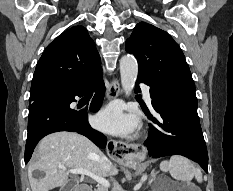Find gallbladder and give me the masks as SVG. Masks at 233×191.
<instances>
[{
    "mask_svg": "<svg viewBox=\"0 0 233 191\" xmlns=\"http://www.w3.org/2000/svg\"><path fill=\"white\" fill-rule=\"evenodd\" d=\"M75 184H76V181L71 179L68 181V183L64 187H61L60 191H72Z\"/></svg>",
    "mask_w": 233,
    "mask_h": 191,
    "instance_id": "obj_1",
    "label": "gallbladder"
}]
</instances>
